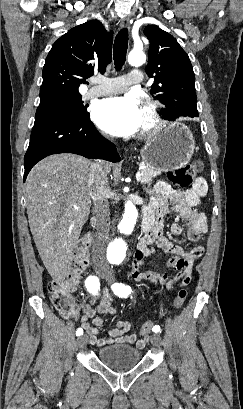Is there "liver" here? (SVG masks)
<instances>
[{
	"label": "liver",
	"instance_id": "1",
	"mask_svg": "<svg viewBox=\"0 0 243 409\" xmlns=\"http://www.w3.org/2000/svg\"><path fill=\"white\" fill-rule=\"evenodd\" d=\"M91 161L74 154L50 155L38 162L25 182L30 230L48 273L56 282L68 263L91 207ZM107 174L111 164L101 163Z\"/></svg>",
	"mask_w": 243,
	"mask_h": 409
}]
</instances>
